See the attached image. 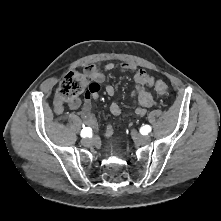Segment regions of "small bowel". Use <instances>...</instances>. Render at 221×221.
I'll return each instance as SVG.
<instances>
[{"label": "small bowel", "instance_id": "1", "mask_svg": "<svg viewBox=\"0 0 221 221\" xmlns=\"http://www.w3.org/2000/svg\"><path fill=\"white\" fill-rule=\"evenodd\" d=\"M115 63H108L102 69H99L93 65L86 67L85 71L88 77L92 80L90 82V88L83 90V97L85 98L82 110V118L86 125L97 128V121L92 112V100L99 97L101 92V83L105 79V75L116 68ZM123 70L134 72L135 89L133 95L137 97L138 105L135 108V114L137 116H144L147 108L152 106L154 99L150 92L153 87L155 79L152 75L148 74L145 70L137 68L134 64L125 62L120 65ZM106 93L109 96L115 94V87L111 84L105 88ZM67 105L71 109H77L81 106V99L78 97L68 99ZM54 110L56 113L61 114L63 112V100L58 97L54 101ZM110 111L113 115H119L121 113V107L117 102H112L110 105ZM113 134L112 125L108 124L105 130V136L110 138Z\"/></svg>", "mask_w": 221, "mask_h": 221}]
</instances>
